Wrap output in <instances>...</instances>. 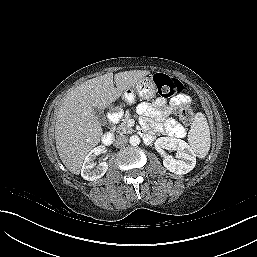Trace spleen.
<instances>
[{
	"instance_id": "obj_1",
	"label": "spleen",
	"mask_w": 257,
	"mask_h": 257,
	"mask_svg": "<svg viewBox=\"0 0 257 257\" xmlns=\"http://www.w3.org/2000/svg\"><path fill=\"white\" fill-rule=\"evenodd\" d=\"M188 143L192 152L199 158H205L209 152L211 143L210 130L207 119L201 112L194 117L188 133Z\"/></svg>"
}]
</instances>
